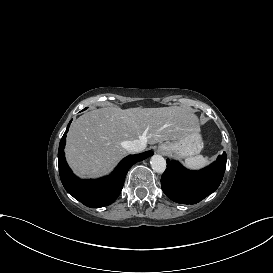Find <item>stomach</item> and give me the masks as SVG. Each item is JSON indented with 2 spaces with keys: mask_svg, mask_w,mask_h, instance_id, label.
<instances>
[{
  "mask_svg": "<svg viewBox=\"0 0 273 273\" xmlns=\"http://www.w3.org/2000/svg\"><path fill=\"white\" fill-rule=\"evenodd\" d=\"M203 144L202 134L196 136L188 135L177 141L162 142L158 151L178 159H186L198 155L203 148Z\"/></svg>",
  "mask_w": 273,
  "mask_h": 273,
  "instance_id": "0dacf381",
  "label": "stomach"
}]
</instances>
